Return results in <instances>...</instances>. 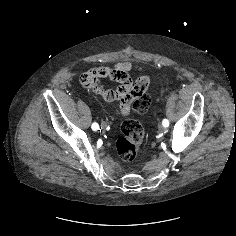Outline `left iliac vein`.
<instances>
[{
  "label": "left iliac vein",
  "instance_id": "1",
  "mask_svg": "<svg viewBox=\"0 0 236 236\" xmlns=\"http://www.w3.org/2000/svg\"><path fill=\"white\" fill-rule=\"evenodd\" d=\"M165 129H166V128H165L163 125H160V126L158 127V130H159L160 132H164Z\"/></svg>",
  "mask_w": 236,
  "mask_h": 236
}]
</instances>
